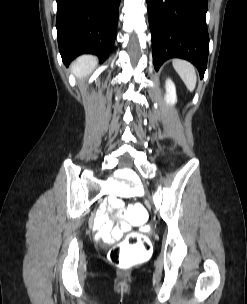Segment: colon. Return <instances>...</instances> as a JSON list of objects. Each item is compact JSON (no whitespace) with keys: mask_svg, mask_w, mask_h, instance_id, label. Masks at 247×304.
Returning a JSON list of instances; mask_svg holds the SVG:
<instances>
[{"mask_svg":"<svg viewBox=\"0 0 247 304\" xmlns=\"http://www.w3.org/2000/svg\"><path fill=\"white\" fill-rule=\"evenodd\" d=\"M124 212L128 218H122V225H147L150 219L144 202H129L128 206L124 207ZM105 242H108V239H105ZM105 251L109 253L108 258L111 263L126 266L143 259H151L153 241H150L145 233L133 231L120 244L106 246Z\"/></svg>","mask_w":247,"mask_h":304,"instance_id":"obj_1","label":"colon"}]
</instances>
